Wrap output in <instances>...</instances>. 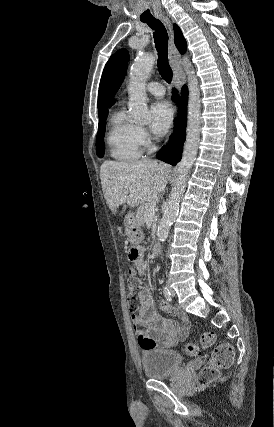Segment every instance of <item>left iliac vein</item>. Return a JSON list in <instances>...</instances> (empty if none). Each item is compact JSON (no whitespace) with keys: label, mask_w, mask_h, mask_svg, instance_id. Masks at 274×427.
<instances>
[{"label":"left iliac vein","mask_w":274,"mask_h":427,"mask_svg":"<svg viewBox=\"0 0 274 427\" xmlns=\"http://www.w3.org/2000/svg\"><path fill=\"white\" fill-rule=\"evenodd\" d=\"M171 294L174 297L175 296V292L171 289Z\"/></svg>","instance_id":"left-iliac-vein-1"}]
</instances>
